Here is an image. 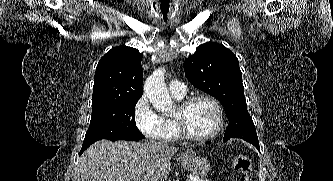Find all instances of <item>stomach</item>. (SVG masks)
<instances>
[{
    "label": "stomach",
    "mask_w": 333,
    "mask_h": 181,
    "mask_svg": "<svg viewBox=\"0 0 333 181\" xmlns=\"http://www.w3.org/2000/svg\"><path fill=\"white\" fill-rule=\"evenodd\" d=\"M181 165L188 170L193 176L204 177L210 170V163L202 156L188 149L180 158Z\"/></svg>",
    "instance_id": "obj_1"
}]
</instances>
